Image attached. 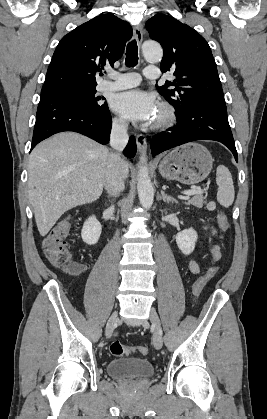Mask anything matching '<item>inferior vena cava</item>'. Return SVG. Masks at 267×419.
I'll list each match as a JSON object with an SVG mask.
<instances>
[{"label":"inferior vena cava","instance_id":"inferior-vena-cava-1","mask_svg":"<svg viewBox=\"0 0 267 419\" xmlns=\"http://www.w3.org/2000/svg\"><path fill=\"white\" fill-rule=\"evenodd\" d=\"M127 128L128 124L125 121H114L110 135V145L114 151L109 154L107 159L104 186L106 191L115 197L123 191L126 178L121 151L128 142Z\"/></svg>","mask_w":267,"mask_h":419}]
</instances>
